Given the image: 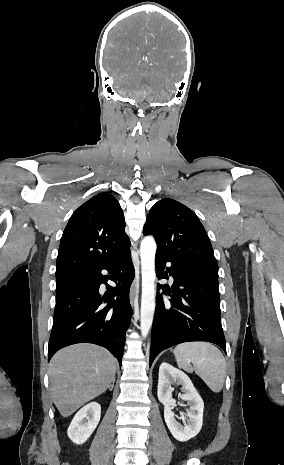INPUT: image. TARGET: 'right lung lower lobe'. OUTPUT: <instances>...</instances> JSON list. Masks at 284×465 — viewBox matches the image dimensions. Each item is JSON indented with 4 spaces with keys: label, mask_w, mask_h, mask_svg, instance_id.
<instances>
[{
    "label": "right lung lower lobe",
    "mask_w": 284,
    "mask_h": 465,
    "mask_svg": "<svg viewBox=\"0 0 284 465\" xmlns=\"http://www.w3.org/2000/svg\"><path fill=\"white\" fill-rule=\"evenodd\" d=\"M111 274L105 276L102 270ZM107 278L116 287L107 285ZM134 267L129 248L91 272L56 282V306L49 340L48 361L61 348L94 343L107 348L119 361L125 344L132 308L129 289ZM108 291L102 296L100 285ZM118 296L114 301V297Z\"/></svg>",
    "instance_id": "1"
}]
</instances>
